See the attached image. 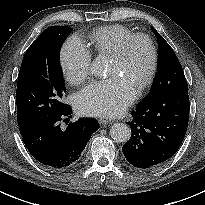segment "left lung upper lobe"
Here are the masks:
<instances>
[{"label": "left lung upper lobe", "instance_id": "1", "mask_svg": "<svg viewBox=\"0 0 205 205\" xmlns=\"http://www.w3.org/2000/svg\"><path fill=\"white\" fill-rule=\"evenodd\" d=\"M153 31L159 45L158 72L151 91L143 102L159 95L170 94L179 85L187 83L182 66L175 52L154 28Z\"/></svg>", "mask_w": 205, "mask_h": 205}]
</instances>
